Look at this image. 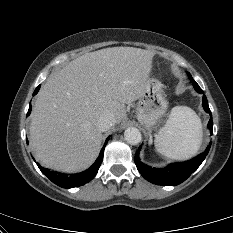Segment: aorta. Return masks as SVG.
Masks as SVG:
<instances>
[{
    "instance_id": "1",
    "label": "aorta",
    "mask_w": 233,
    "mask_h": 233,
    "mask_svg": "<svg viewBox=\"0 0 233 233\" xmlns=\"http://www.w3.org/2000/svg\"><path fill=\"white\" fill-rule=\"evenodd\" d=\"M124 137L127 143L131 145H137L141 141V133L135 127H129L124 132Z\"/></svg>"
}]
</instances>
